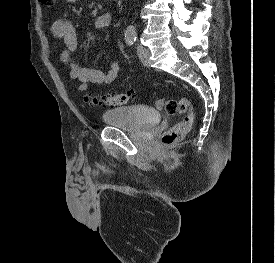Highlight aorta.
<instances>
[{"instance_id":"obj_1","label":"aorta","mask_w":275,"mask_h":263,"mask_svg":"<svg viewBox=\"0 0 275 263\" xmlns=\"http://www.w3.org/2000/svg\"><path fill=\"white\" fill-rule=\"evenodd\" d=\"M129 33L131 34V36L134 35V32H133V30L131 28L129 29Z\"/></svg>"}]
</instances>
